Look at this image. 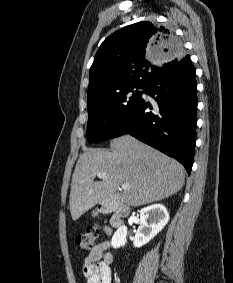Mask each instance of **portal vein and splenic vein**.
<instances>
[{
    "mask_svg": "<svg viewBox=\"0 0 233 283\" xmlns=\"http://www.w3.org/2000/svg\"><path fill=\"white\" fill-rule=\"evenodd\" d=\"M106 176V174L105 173H98L97 174V177H99V178H103V177H105ZM121 187H122V189H128L129 188V184H126V183H123L122 185H121Z\"/></svg>",
    "mask_w": 233,
    "mask_h": 283,
    "instance_id": "18ae733b",
    "label": "portal vein and splenic vein"
}]
</instances>
